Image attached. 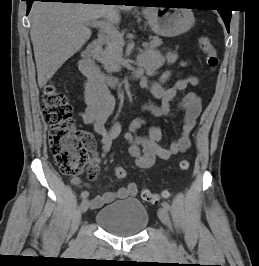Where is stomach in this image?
Returning a JSON list of instances; mask_svg holds the SVG:
<instances>
[{
  "mask_svg": "<svg viewBox=\"0 0 259 266\" xmlns=\"http://www.w3.org/2000/svg\"><path fill=\"white\" fill-rule=\"evenodd\" d=\"M144 14L152 31L163 37L186 33L195 23L192 10L187 8H148Z\"/></svg>",
  "mask_w": 259,
  "mask_h": 266,
  "instance_id": "obj_1",
  "label": "stomach"
}]
</instances>
